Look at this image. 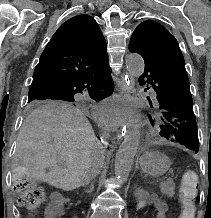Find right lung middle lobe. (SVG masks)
<instances>
[{"label":"right lung middle lobe","mask_w":211,"mask_h":218,"mask_svg":"<svg viewBox=\"0 0 211 218\" xmlns=\"http://www.w3.org/2000/svg\"><path fill=\"white\" fill-rule=\"evenodd\" d=\"M92 99L96 101L102 100L101 98L94 97ZM28 103V109L30 110L56 108L68 105H79L82 107H86L88 105L87 101L81 100L80 98L73 96H49L37 100H29Z\"/></svg>","instance_id":"right-lung-middle-lobe-1"}]
</instances>
